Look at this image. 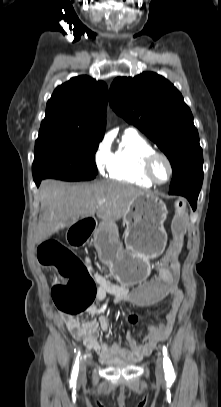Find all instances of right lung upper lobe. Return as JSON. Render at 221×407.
Listing matches in <instances>:
<instances>
[{
  "label": "right lung upper lobe",
  "instance_id": "right-lung-upper-lobe-1",
  "mask_svg": "<svg viewBox=\"0 0 221 407\" xmlns=\"http://www.w3.org/2000/svg\"><path fill=\"white\" fill-rule=\"evenodd\" d=\"M107 99L104 82L88 76L74 77L54 90L39 133H67L102 140Z\"/></svg>",
  "mask_w": 221,
  "mask_h": 407
}]
</instances>
